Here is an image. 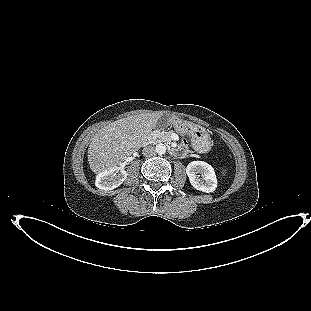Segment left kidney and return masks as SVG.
I'll return each mask as SVG.
<instances>
[{
    "label": "left kidney",
    "mask_w": 311,
    "mask_h": 311,
    "mask_svg": "<svg viewBox=\"0 0 311 311\" xmlns=\"http://www.w3.org/2000/svg\"><path fill=\"white\" fill-rule=\"evenodd\" d=\"M191 185L199 191L210 193L217 188V178L211 165L204 161H193L186 168ZM197 174H201L197 175Z\"/></svg>",
    "instance_id": "1"
}]
</instances>
